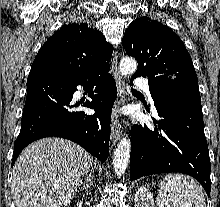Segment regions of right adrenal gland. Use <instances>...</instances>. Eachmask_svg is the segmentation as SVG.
<instances>
[{
	"label": "right adrenal gland",
	"instance_id": "right-adrenal-gland-1",
	"mask_svg": "<svg viewBox=\"0 0 220 207\" xmlns=\"http://www.w3.org/2000/svg\"><path fill=\"white\" fill-rule=\"evenodd\" d=\"M93 178L94 176L92 175V170L89 173V175L87 176L86 180H85V184H83V189L87 190L90 186L93 185ZM82 184V182H81Z\"/></svg>",
	"mask_w": 220,
	"mask_h": 207
}]
</instances>
